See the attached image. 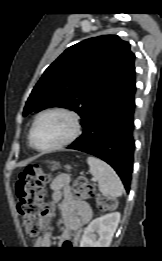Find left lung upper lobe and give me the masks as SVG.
I'll return each mask as SVG.
<instances>
[{"mask_svg":"<svg viewBox=\"0 0 162 261\" xmlns=\"http://www.w3.org/2000/svg\"><path fill=\"white\" fill-rule=\"evenodd\" d=\"M135 55L117 35L81 41L66 49L43 73L23 116L48 107L78 113L83 125L92 112L135 74Z\"/></svg>","mask_w":162,"mask_h":261,"instance_id":"5c2ea615","label":"left lung upper lobe"}]
</instances>
